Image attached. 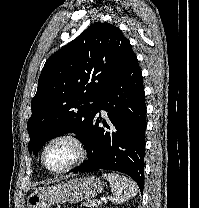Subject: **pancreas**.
<instances>
[{
    "instance_id": "pancreas-1",
    "label": "pancreas",
    "mask_w": 199,
    "mask_h": 208,
    "mask_svg": "<svg viewBox=\"0 0 199 208\" xmlns=\"http://www.w3.org/2000/svg\"><path fill=\"white\" fill-rule=\"evenodd\" d=\"M83 206L90 207V208H94V207L97 206L96 200H88L87 203H85V202L83 203Z\"/></svg>"
}]
</instances>
